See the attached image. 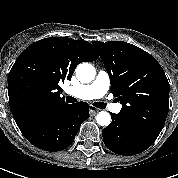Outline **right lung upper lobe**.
Returning a JSON list of instances; mask_svg holds the SVG:
<instances>
[{"mask_svg": "<svg viewBox=\"0 0 178 178\" xmlns=\"http://www.w3.org/2000/svg\"><path fill=\"white\" fill-rule=\"evenodd\" d=\"M96 59L93 46L83 40L51 37L28 46L8 77L9 104L16 124L66 105L59 84L71 79L78 64Z\"/></svg>", "mask_w": 178, "mask_h": 178, "instance_id": "right-lung-upper-lobe-1", "label": "right lung upper lobe"}]
</instances>
